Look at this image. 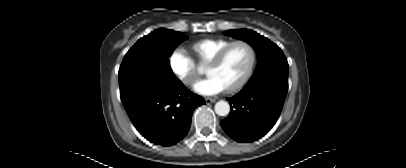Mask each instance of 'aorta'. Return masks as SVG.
Here are the masks:
<instances>
[{
  "mask_svg": "<svg viewBox=\"0 0 406 168\" xmlns=\"http://www.w3.org/2000/svg\"><path fill=\"white\" fill-rule=\"evenodd\" d=\"M214 109L217 115L226 116L230 112V105L228 102L221 100L215 104Z\"/></svg>",
  "mask_w": 406,
  "mask_h": 168,
  "instance_id": "762f6f07",
  "label": "aorta"
}]
</instances>
